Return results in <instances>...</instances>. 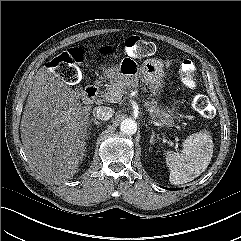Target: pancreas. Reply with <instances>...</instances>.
<instances>
[{"label":"pancreas","mask_w":241,"mask_h":241,"mask_svg":"<svg viewBox=\"0 0 241 241\" xmlns=\"http://www.w3.org/2000/svg\"><path fill=\"white\" fill-rule=\"evenodd\" d=\"M119 92L121 97H122V94L125 92L124 88L119 84V83H110L106 89L104 90V96L105 97H110L111 95L115 94ZM146 106L148 107V109L150 110H153L154 114H153V117L154 118H158V111H157V107L156 105L153 103V102H147L146 103ZM161 119V118H160ZM162 120V119H161ZM164 123L166 124H170L172 122V119L171 118H168V121H164L162 120Z\"/></svg>","instance_id":"obj_1"}]
</instances>
